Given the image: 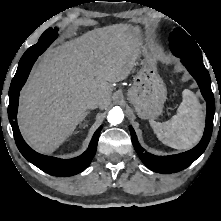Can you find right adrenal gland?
Returning a JSON list of instances; mask_svg holds the SVG:
<instances>
[{
	"label": "right adrenal gland",
	"mask_w": 221,
	"mask_h": 221,
	"mask_svg": "<svg viewBox=\"0 0 221 221\" xmlns=\"http://www.w3.org/2000/svg\"><path fill=\"white\" fill-rule=\"evenodd\" d=\"M89 113H90V111H87V112H86V116H87ZM86 122H87V121L85 120V122H84V126H83V127L86 126V125H85Z\"/></svg>",
	"instance_id": "obj_1"
}]
</instances>
